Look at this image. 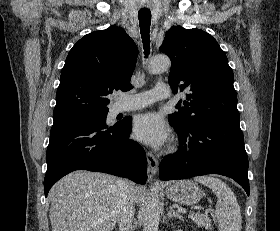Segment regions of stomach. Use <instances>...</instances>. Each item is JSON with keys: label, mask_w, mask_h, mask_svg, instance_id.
I'll list each match as a JSON object with an SVG mask.
<instances>
[{"label": "stomach", "mask_w": 280, "mask_h": 231, "mask_svg": "<svg viewBox=\"0 0 280 231\" xmlns=\"http://www.w3.org/2000/svg\"><path fill=\"white\" fill-rule=\"evenodd\" d=\"M166 195L178 203H197L202 197V189L196 181L191 179H181V181H171L166 189Z\"/></svg>", "instance_id": "1"}]
</instances>
